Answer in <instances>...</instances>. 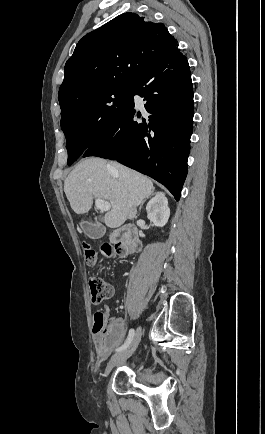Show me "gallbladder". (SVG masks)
<instances>
[{"instance_id": "bac80fb5", "label": "gallbladder", "mask_w": 265, "mask_h": 434, "mask_svg": "<svg viewBox=\"0 0 265 434\" xmlns=\"http://www.w3.org/2000/svg\"><path fill=\"white\" fill-rule=\"evenodd\" d=\"M99 218H102V216H99ZM83 223V230L86 232L89 238H94V240L103 238L105 232L103 224H94L89 219L84 220Z\"/></svg>"}]
</instances>
